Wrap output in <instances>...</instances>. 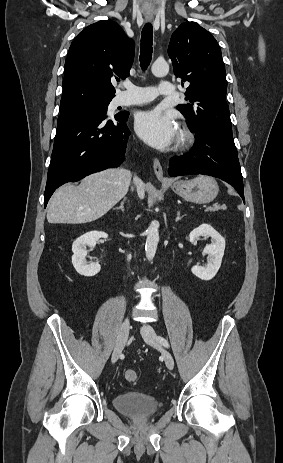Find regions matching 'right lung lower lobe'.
I'll return each mask as SVG.
<instances>
[{"label":"right lung lower lobe","mask_w":283,"mask_h":463,"mask_svg":"<svg viewBox=\"0 0 283 463\" xmlns=\"http://www.w3.org/2000/svg\"><path fill=\"white\" fill-rule=\"evenodd\" d=\"M107 112L94 110L58 121L48 170L44 206L56 188L124 160L130 131L128 113L107 119Z\"/></svg>","instance_id":"1"}]
</instances>
